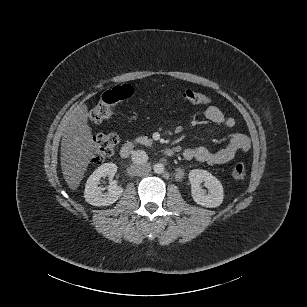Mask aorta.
Instances as JSON below:
<instances>
[{
	"mask_svg": "<svg viewBox=\"0 0 307 307\" xmlns=\"http://www.w3.org/2000/svg\"><path fill=\"white\" fill-rule=\"evenodd\" d=\"M153 170L155 173L157 174H162L164 172V165L161 164V163H156L154 166H153Z\"/></svg>",
	"mask_w": 307,
	"mask_h": 307,
	"instance_id": "obj_1",
	"label": "aorta"
}]
</instances>
